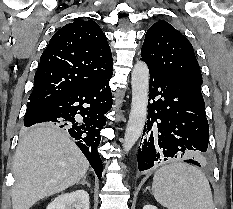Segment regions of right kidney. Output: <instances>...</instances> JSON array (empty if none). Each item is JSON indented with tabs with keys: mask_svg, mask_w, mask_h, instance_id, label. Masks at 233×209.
I'll use <instances>...</instances> for the list:
<instances>
[{
	"mask_svg": "<svg viewBox=\"0 0 233 209\" xmlns=\"http://www.w3.org/2000/svg\"><path fill=\"white\" fill-rule=\"evenodd\" d=\"M90 209L89 194L84 190H76L55 198L46 209Z\"/></svg>",
	"mask_w": 233,
	"mask_h": 209,
	"instance_id": "ca27d5eb",
	"label": "right kidney"
}]
</instances>
